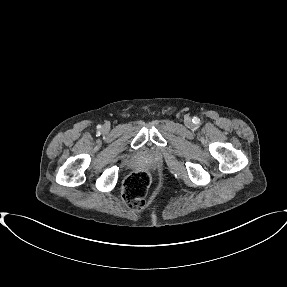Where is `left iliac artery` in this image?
<instances>
[{
	"label": "left iliac artery",
	"instance_id": "left-iliac-artery-1",
	"mask_svg": "<svg viewBox=\"0 0 287 287\" xmlns=\"http://www.w3.org/2000/svg\"><path fill=\"white\" fill-rule=\"evenodd\" d=\"M193 122H197V123H198V119L195 117L194 120H193Z\"/></svg>",
	"mask_w": 287,
	"mask_h": 287
}]
</instances>
